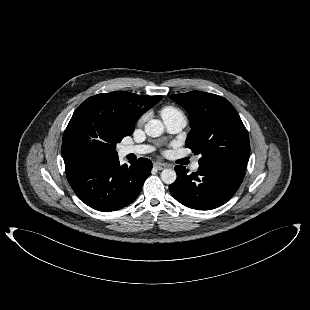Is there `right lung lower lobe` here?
<instances>
[{
	"mask_svg": "<svg viewBox=\"0 0 310 310\" xmlns=\"http://www.w3.org/2000/svg\"><path fill=\"white\" fill-rule=\"evenodd\" d=\"M152 166L146 158L131 162L129 166L120 165L117 156L77 163L66 167L65 172L79 199L96 210L109 212L137 198Z\"/></svg>",
	"mask_w": 310,
	"mask_h": 310,
	"instance_id": "obj_1",
	"label": "right lung lower lobe"
}]
</instances>
